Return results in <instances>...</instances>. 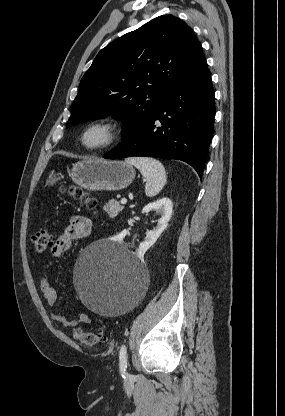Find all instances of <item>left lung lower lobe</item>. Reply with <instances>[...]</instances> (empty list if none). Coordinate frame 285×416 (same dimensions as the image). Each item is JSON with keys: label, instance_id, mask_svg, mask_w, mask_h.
Returning <instances> with one entry per match:
<instances>
[{"label": "left lung lower lobe", "instance_id": "obj_1", "mask_svg": "<svg viewBox=\"0 0 285 416\" xmlns=\"http://www.w3.org/2000/svg\"><path fill=\"white\" fill-rule=\"evenodd\" d=\"M214 117V89L203 57L154 113L104 158L177 159L191 165L202 178L213 136ZM157 121L161 123L159 127Z\"/></svg>", "mask_w": 285, "mask_h": 416}]
</instances>
